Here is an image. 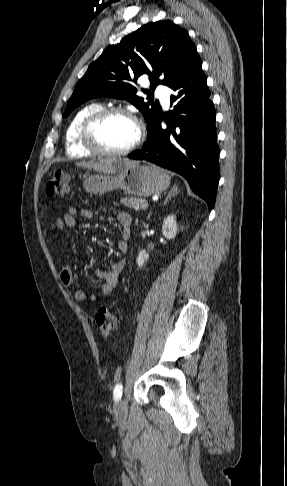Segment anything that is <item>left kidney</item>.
<instances>
[{
  "label": "left kidney",
  "instance_id": "5707ae66",
  "mask_svg": "<svg viewBox=\"0 0 287 486\" xmlns=\"http://www.w3.org/2000/svg\"><path fill=\"white\" fill-rule=\"evenodd\" d=\"M178 231L175 215H169L164 220L162 225V233L166 239L175 238ZM149 259L148 253L145 250H141L138 254L136 263L138 267H142Z\"/></svg>",
  "mask_w": 287,
  "mask_h": 486
}]
</instances>
